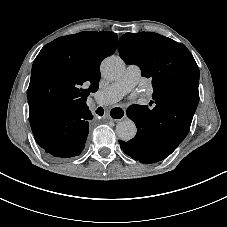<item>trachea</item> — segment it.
<instances>
[{"label":"trachea","instance_id":"trachea-1","mask_svg":"<svg viewBox=\"0 0 227 227\" xmlns=\"http://www.w3.org/2000/svg\"><path fill=\"white\" fill-rule=\"evenodd\" d=\"M98 109H100V111H101L100 116L103 115V112H104V111H103V108L99 107Z\"/></svg>","mask_w":227,"mask_h":227}]
</instances>
